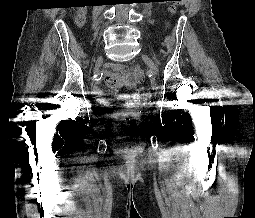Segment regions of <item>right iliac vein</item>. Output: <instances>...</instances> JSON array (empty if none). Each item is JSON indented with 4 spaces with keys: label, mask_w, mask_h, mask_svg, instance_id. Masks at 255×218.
<instances>
[{
    "label": "right iliac vein",
    "mask_w": 255,
    "mask_h": 218,
    "mask_svg": "<svg viewBox=\"0 0 255 218\" xmlns=\"http://www.w3.org/2000/svg\"><path fill=\"white\" fill-rule=\"evenodd\" d=\"M101 62H102V59L100 58V59L98 60V63H97V65H96V68H95V71H96V72L99 70V67H100Z\"/></svg>",
    "instance_id": "1"
}]
</instances>
